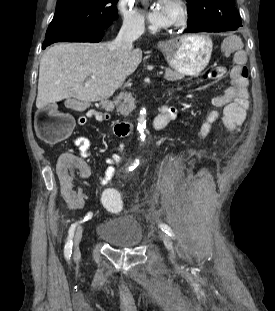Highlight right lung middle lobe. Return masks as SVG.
Returning <instances> with one entry per match:
<instances>
[{
  "label": "right lung middle lobe",
  "instance_id": "right-lung-middle-lobe-1",
  "mask_svg": "<svg viewBox=\"0 0 275 311\" xmlns=\"http://www.w3.org/2000/svg\"><path fill=\"white\" fill-rule=\"evenodd\" d=\"M117 2L118 0H58L45 40L87 28L110 27L117 13Z\"/></svg>",
  "mask_w": 275,
  "mask_h": 311
}]
</instances>
